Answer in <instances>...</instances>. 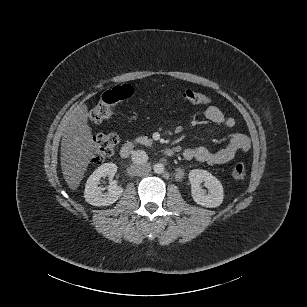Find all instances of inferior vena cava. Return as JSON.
<instances>
[{
  "label": "inferior vena cava",
  "instance_id": "602c4592",
  "mask_svg": "<svg viewBox=\"0 0 307 307\" xmlns=\"http://www.w3.org/2000/svg\"><path fill=\"white\" fill-rule=\"evenodd\" d=\"M132 161L135 164H144L148 161V155L143 150H137L132 154Z\"/></svg>",
  "mask_w": 307,
  "mask_h": 307
}]
</instances>
